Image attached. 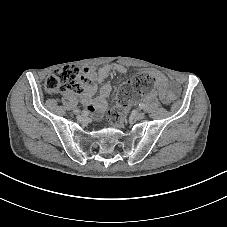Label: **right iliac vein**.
Wrapping results in <instances>:
<instances>
[{"instance_id":"obj_1","label":"right iliac vein","mask_w":227,"mask_h":227,"mask_svg":"<svg viewBox=\"0 0 227 227\" xmlns=\"http://www.w3.org/2000/svg\"><path fill=\"white\" fill-rule=\"evenodd\" d=\"M73 111H74V113H75V114H79V113H80L79 109H78V108H76V107H75V108H73Z\"/></svg>"}]
</instances>
